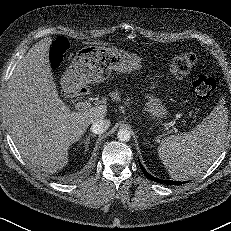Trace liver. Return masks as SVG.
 I'll list each match as a JSON object with an SVG mask.
<instances>
[{
    "label": "liver",
    "mask_w": 231,
    "mask_h": 231,
    "mask_svg": "<svg viewBox=\"0 0 231 231\" xmlns=\"http://www.w3.org/2000/svg\"><path fill=\"white\" fill-rule=\"evenodd\" d=\"M51 43V38L40 40L15 67L7 87L6 114L22 156L53 174L66 166L70 145L105 118L107 106L74 112L59 99L48 59Z\"/></svg>",
    "instance_id": "obj_1"
}]
</instances>
